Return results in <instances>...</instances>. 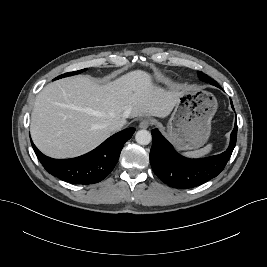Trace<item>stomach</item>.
Listing matches in <instances>:
<instances>
[{"label": "stomach", "instance_id": "0dacf381", "mask_svg": "<svg viewBox=\"0 0 267 267\" xmlns=\"http://www.w3.org/2000/svg\"><path fill=\"white\" fill-rule=\"evenodd\" d=\"M217 110L215 96L202 89L183 91L167 125V136L179 150L203 146L211 133Z\"/></svg>", "mask_w": 267, "mask_h": 267}]
</instances>
